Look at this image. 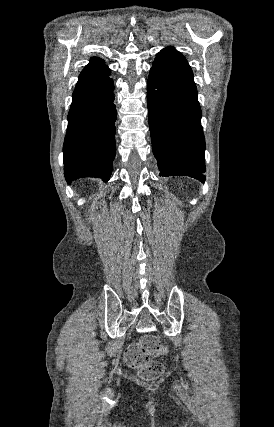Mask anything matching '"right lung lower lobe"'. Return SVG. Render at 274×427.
Returning a JSON list of instances; mask_svg holds the SVG:
<instances>
[{"mask_svg": "<svg viewBox=\"0 0 274 427\" xmlns=\"http://www.w3.org/2000/svg\"><path fill=\"white\" fill-rule=\"evenodd\" d=\"M109 68H84L73 92L64 141L67 183L82 177L108 181L115 157L114 83Z\"/></svg>", "mask_w": 274, "mask_h": 427, "instance_id": "98d812e1", "label": "right lung lower lobe"}]
</instances>
